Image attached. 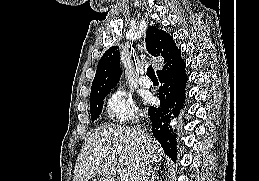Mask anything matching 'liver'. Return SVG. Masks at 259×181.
Segmentation results:
<instances>
[{
  "mask_svg": "<svg viewBox=\"0 0 259 181\" xmlns=\"http://www.w3.org/2000/svg\"><path fill=\"white\" fill-rule=\"evenodd\" d=\"M148 152L152 162L164 155L158 141L139 128L105 127L89 134L78 155L73 181H89L101 176L106 181L123 166L129 171V181L136 177Z\"/></svg>",
  "mask_w": 259,
  "mask_h": 181,
  "instance_id": "6515ba94",
  "label": "liver"
}]
</instances>
